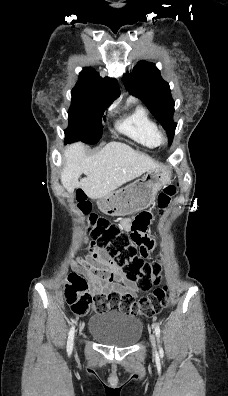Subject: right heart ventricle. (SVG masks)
Here are the masks:
<instances>
[{
    "instance_id": "e07e8e85",
    "label": "right heart ventricle",
    "mask_w": 228,
    "mask_h": 396,
    "mask_svg": "<svg viewBox=\"0 0 228 396\" xmlns=\"http://www.w3.org/2000/svg\"><path fill=\"white\" fill-rule=\"evenodd\" d=\"M118 130L145 147L155 148L159 145L158 126L141 105H136L133 111L119 122Z\"/></svg>"
}]
</instances>
